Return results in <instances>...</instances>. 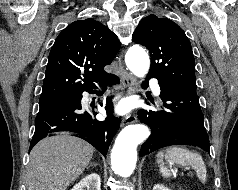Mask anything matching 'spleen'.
Here are the masks:
<instances>
[{"label":"spleen","instance_id":"1","mask_svg":"<svg viewBox=\"0 0 238 190\" xmlns=\"http://www.w3.org/2000/svg\"><path fill=\"white\" fill-rule=\"evenodd\" d=\"M157 162L160 165V173L163 177H170L171 171L164 166L163 158L170 163H175L181 166H191L195 171L198 179L205 183L207 179L206 165L200 154L189 151L185 147H169L166 150L157 153Z\"/></svg>","mask_w":238,"mask_h":190}]
</instances>
